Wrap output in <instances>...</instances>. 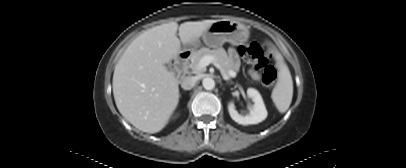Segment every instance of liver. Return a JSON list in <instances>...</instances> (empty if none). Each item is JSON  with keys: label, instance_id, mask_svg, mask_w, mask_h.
<instances>
[{"label": "liver", "instance_id": "obj_1", "mask_svg": "<svg viewBox=\"0 0 406 168\" xmlns=\"http://www.w3.org/2000/svg\"><path fill=\"white\" fill-rule=\"evenodd\" d=\"M216 21L155 26L127 47L115 66L112 86L119 112L134 127L157 133L166 126L179 102V81L165 64L177 58L181 43L198 39Z\"/></svg>", "mask_w": 406, "mask_h": 168}]
</instances>
